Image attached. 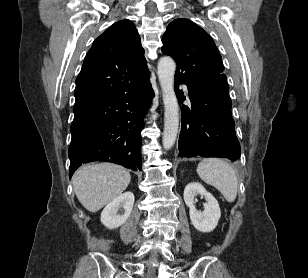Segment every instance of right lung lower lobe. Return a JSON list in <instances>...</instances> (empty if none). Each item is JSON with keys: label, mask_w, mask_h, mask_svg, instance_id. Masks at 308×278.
I'll use <instances>...</instances> for the list:
<instances>
[{"label": "right lung lower lobe", "mask_w": 308, "mask_h": 278, "mask_svg": "<svg viewBox=\"0 0 308 278\" xmlns=\"http://www.w3.org/2000/svg\"><path fill=\"white\" fill-rule=\"evenodd\" d=\"M153 96L148 76L124 94L74 107L70 177L81 163L91 161L141 170L142 119Z\"/></svg>", "instance_id": "right-lung-lower-lobe-1"}]
</instances>
